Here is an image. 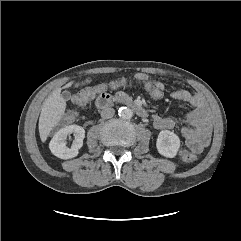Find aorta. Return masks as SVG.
I'll use <instances>...</instances> for the list:
<instances>
[{
    "label": "aorta",
    "mask_w": 241,
    "mask_h": 241,
    "mask_svg": "<svg viewBox=\"0 0 241 241\" xmlns=\"http://www.w3.org/2000/svg\"><path fill=\"white\" fill-rule=\"evenodd\" d=\"M118 112L119 116L123 119H131L133 116V111L127 107H121Z\"/></svg>",
    "instance_id": "aorta-1"
}]
</instances>
